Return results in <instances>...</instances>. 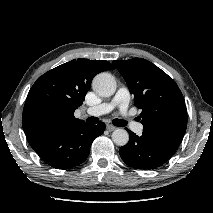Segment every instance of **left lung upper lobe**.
<instances>
[{"label": "left lung upper lobe", "instance_id": "obj_1", "mask_svg": "<svg viewBox=\"0 0 213 213\" xmlns=\"http://www.w3.org/2000/svg\"><path fill=\"white\" fill-rule=\"evenodd\" d=\"M142 110L143 132L177 145L187 127L184 97L164 71L143 58L113 61Z\"/></svg>", "mask_w": 213, "mask_h": 213}]
</instances>
